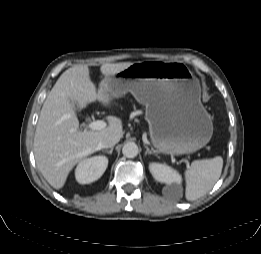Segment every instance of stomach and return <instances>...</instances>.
I'll list each match as a JSON object with an SVG mask.
<instances>
[{
  "mask_svg": "<svg viewBox=\"0 0 261 254\" xmlns=\"http://www.w3.org/2000/svg\"><path fill=\"white\" fill-rule=\"evenodd\" d=\"M98 90L111 100L130 92L145 105L150 139L159 153H192L212 137L213 124L201 103L199 81L182 62L134 63L103 79Z\"/></svg>",
  "mask_w": 261,
  "mask_h": 254,
  "instance_id": "stomach-1",
  "label": "stomach"
}]
</instances>
